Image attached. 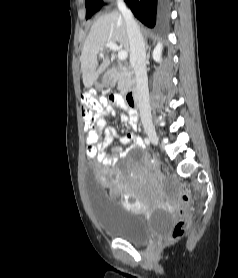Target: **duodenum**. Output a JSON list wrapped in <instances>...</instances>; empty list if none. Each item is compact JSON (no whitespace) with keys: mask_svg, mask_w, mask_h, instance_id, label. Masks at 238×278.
I'll list each match as a JSON object with an SVG mask.
<instances>
[{"mask_svg":"<svg viewBox=\"0 0 238 278\" xmlns=\"http://www.w3.org/2000/svg\"><path fill=\"white\" fill-rule=\"evenodd\" d=\"M117 70L116 69H111L108 73V78L110 81H114L117 78ZM125 101L130 107H136L138 105V97H137V92L134 88L130 89L126 96H125Z\"/></svg>","mask_w":238,"mask_h":278,"instance_id":"obj_1","label":"duodenum"}]
</instances>
